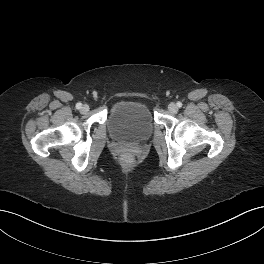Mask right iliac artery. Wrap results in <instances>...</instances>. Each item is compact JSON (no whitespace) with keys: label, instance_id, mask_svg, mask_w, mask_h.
I'll use <instances>...</instances> for the list:
<instances>
[{"label":"right iliac artery","instance_id":"82829eb1","mask_svg":"<svg viewBox=\"0 0 264 264\" xmlns=\"http://www.w3.org/2000/svg\"><path fill=\"white\" fill-rule=\"evenodd\" d=\"M81 107H82V104L80 102L76 104L77 109H80Z\"/></svg>","mask_w":264,"mask_h":264}]
</instances>
